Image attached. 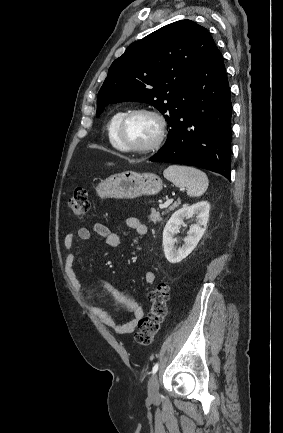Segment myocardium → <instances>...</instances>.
<instances>
[{"instance_id":"myocardium-1","label":"myocardium","mask_w":283,"mask_h":433,"mask_svg":"<svg viewBox=\"0 0 283 433\" xmlns=\"http://www.w3.org/2000/svg\"><path fill=\"white\" fill-rule=\"evenodd\" d=\"M137 114H149L157 119L160 126V131L157 139L147 147H133L126 143L123 138L124 128L129 120ZM168 134V121L166 117L157 109L152 107H137L126 111L118 122L116 128V140L122 151L135 153L139 155H153L157 153L163 146Z\"/></svg>"}]
</instances>
